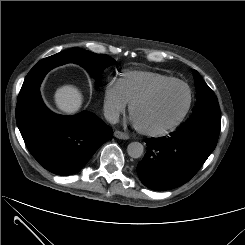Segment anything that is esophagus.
Returning a JSON list of instances; mask_svg holds the SVG:
<instances>
[{"label": "esophagus", "instance_id": "34e87169", "mask_svg": "<svg viewBox=\"0 0 245 245\" xmlns=\"http://www.w3.org/2000/svg\"><path fill=\"white\" fill-rule=\"evenodd\" d=\"M114 136H115L116 138L123 139V140L129 139V135H128V134H126V133H124V132H122V131H118V130H116V131L114 132Z\"/></svg>", "mask_w": 245, "mask_h": 245}]
</instances>
